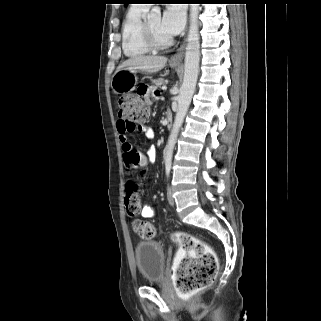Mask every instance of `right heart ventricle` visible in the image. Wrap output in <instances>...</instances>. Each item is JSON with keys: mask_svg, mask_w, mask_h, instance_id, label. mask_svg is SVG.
I'll list each match as a JSON object with an SVG mask.
<instances>
[{"mask_svg": "<svg viewBox=\"0 0 321 321\" xmlns=\"http://www.w3.org/2000/svg\"><path fill=\"white\" fill-rule=\"evenodd\" d=\"M147 10L146 5H132L123 20L121 45L125 56L129 58H138L151 51L142 38L143 15Z\"/></svg>", "mask_w": 321, "mask_h": 321, "instance_id": "e07e8e85", "label": "right heart ventricle"}]
</instances>
